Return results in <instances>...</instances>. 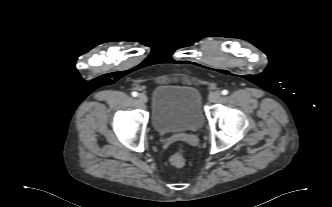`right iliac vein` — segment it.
Segmentation results:
<instances>
[{"mask_svg":"<svg viewBox=\"0 0 332 207\" xmlns=\"http://www.w3.org/2000/svg\"><path fill=\"white\" fill-rule=\"evenodd\" d=\"M138 100L141 102V103H146L147 102V96L145 94H140L138 96Z\"/></svg>","mask_w":332,"mask_h":207,"instance_id":"obj_1","label":"right iliac vein"}]
</instances>
